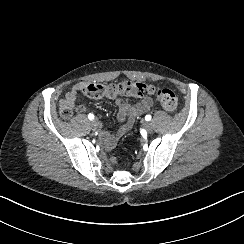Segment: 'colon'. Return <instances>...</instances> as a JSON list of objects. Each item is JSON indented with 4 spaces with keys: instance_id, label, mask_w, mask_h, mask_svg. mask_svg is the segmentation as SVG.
I'll use <instances>...</instances> for the list:
<instances>
[{
    "instance_id": "obj_1",
    "label": "colon",
    "mask_w": 244,
    "mask_h": 244,
    "mask_svg": "<svg viewBox=\"0 0 244 244\" xmlns=\"http://www.w3.org/2000/svg\"><path fill=\"white\" fill-rule=\"evenodd\" d=\"M82 93L87 98L94 100L112 98L117 94H124L134 99L154 95L166 111L175 112L177 109V97L170 89L137 81L121 80L111 84L91 82L83 88ZM59 111L63 118H70L74 112L73 101L71 99L62 101Z\"/></svg>"
}]
</instances>
